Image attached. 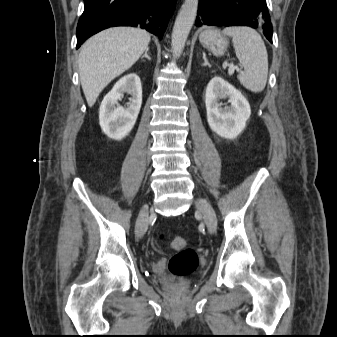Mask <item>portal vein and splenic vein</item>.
Returning <instances> with one entry per match:
<instances>
[{
    "instance_id": "18ae733b",
    "label": "portal vein and splenic vein",
    "mask_w": 337,
    "mask_h": 337,
    "mask_svg": "<svg viewBox=\"0 0 337 337\" xmlns=\"http://www.w3.org/2000/svg\"><path fill=\"white\" fill-rule=\"evenodd\" d=\"M235 70H237L238 72L242 73L241 69H238L236 66H234L233 63H231L229 65V70H228L229 75H232Z\"/></svg>"
}]
</instances>
